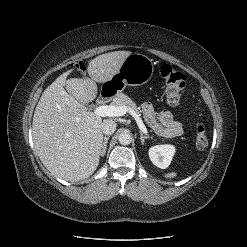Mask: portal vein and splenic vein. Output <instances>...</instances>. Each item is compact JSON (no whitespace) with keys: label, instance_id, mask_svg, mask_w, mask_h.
Instances as JSON below:
<instances>
[{"label":"portal vein and splenic vein","instance_id":"18ae733b","mask_svg":"<svg viewBox=\"0 0 247 247\" xmlns=\"http://www.w3.org/2000/svg\"><path fill=\"white\" fill-rule=\"evenodd\" d=\"M94 113L97 116H101V117H119V116H123L126 113H130L132 115V117L135 118L136 123L139 127V129L141 130V132H143L144 134H148L147 128L144 125L142 119L140 118V116L134 112L131 108L122 105V106H115V105H104V106H98L95 110Z\"/></svg>","mask_w":247,"mask_h":247}]
</instances>
